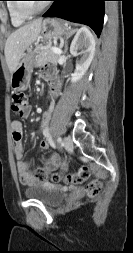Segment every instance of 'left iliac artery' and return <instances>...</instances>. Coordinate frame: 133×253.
I'll use <instances>...</instances> for the list:
<instances>
[{
    "label": "left iliac artery",
    "mask_w": 133,
    "mask_h": 253,
    "mask_svg": "<svg viewBox=\"0 0 133 253\" xmlns=\"http://www.w3.org/2000/svg\"><path fill=\"white\" fill-rule=\"evenodd\" d=\"M57 142H58L59 144L62 142L61 137H58V138H57Z\"/></svg>",
    "instance_id": "1"
}]
</instances>
